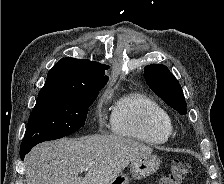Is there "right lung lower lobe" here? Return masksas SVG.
Returning a JSON list of instances; mask_svg holds the SVG:
<instances>
[{
	"instance_id": "98d812e1",
	"label": "right lung lower lobe",
	"mask_w": 224,
	"mask_h": 184,
	"mask_svg": "<svg viewBox=\"0 0 224 184\" xmlns=\"http://www.w3.org/2000/svg\"><path fill=\"white\" fill-rule=\"evenodd\" d=\"M32 147H24L20 150V158L24 160V156L31 150Z\"/></svg>"
}]
</instances>
